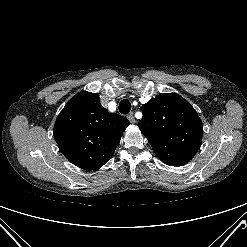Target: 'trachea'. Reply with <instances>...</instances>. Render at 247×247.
<instances>
[{
  "instance_id": "trachea-1",
  "label": "trachea",
  "mask_w": 247,
  "mask_h": 247,
  "mask_svg": "<svg viewBox=\"0 0 247 247\" xmlns=\"http://www.w3.org/2000/svg\"><path fill=\"white\" fill-rule=\"evenodd\" d=\"M131 110V103L129 100L124 99L119 103V112L121 114H128Z\"/></svg>"
}]
</instances>
